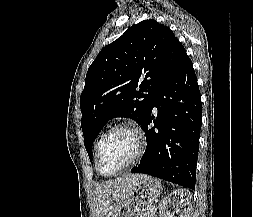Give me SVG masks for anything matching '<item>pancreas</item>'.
<instances>
[{
	"label": "pancreas",
	"mask_w": 253,
	"mask_h": 217,
	"mask_svg": "<svg viewBox=\"0 0 253 217\" xmlns=\"http://www.w3.org/2000/svg\"><path fill=\"white\" fill-rule=\"evenodd\" d=\"M142 217H156V212L151 211V207L143 214Z\"/></svg>",
	"instance_id": "cf45deb5"
}]
</instances>
